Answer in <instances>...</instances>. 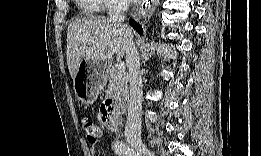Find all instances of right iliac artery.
I'll return each mask as SVG.
<instances>
[{
    "label": "right iliac artery",
    "mask_w": 261,
    "mask_h": 156,
    "mask_svg": "<svg viewBox=\"0 0 261 156\" xmlns=\"http://www.w3.org/2000/svg\"><path fill=\"white\" fill-rule=\"evenodd\" d=\"M114 151L117 155H139V153H135L133 149L129 148L125 143L122 141H116L113 145Z\"/></svg>",
    "instance_id": "82829eb1"
}]
</instances>
